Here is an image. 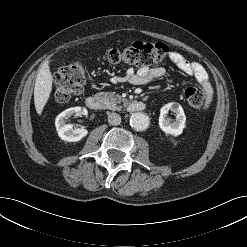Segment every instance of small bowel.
I'll list each match as a JSON object with an SVG mask.
<instances>
[{
	"label": "small bowel",
	"instance_id": "small-bowel-1",
	"mask_svg": "<svg viewBox=\"0 0 247 247\" xmlns=\"http://www.w3.org/2000/svg\"><path fill=\"white\" fill-rule=\"evenodd\" d=\"M169 59L181 72L194 78L201 87L205 97L204 109H207L212 102L213 88L205 68L200 63L189 61L184 55L176 51L169 54ZM164 74L165 69L162 67H144L138 70L129 68L123 78H114L112 81L114 83L128 81L134 85H143L153 80L160 79Z\"/></svg>",
	"mask_w": 247,
	"mask_h": 247
}]
</instances>
